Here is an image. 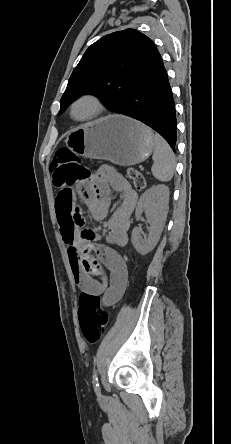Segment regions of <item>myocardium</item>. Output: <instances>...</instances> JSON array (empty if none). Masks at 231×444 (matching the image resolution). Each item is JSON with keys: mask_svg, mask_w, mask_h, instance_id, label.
<instances>
[{"mask_svg": "<svg viewBox=\"0 0 231 444\" xmlns=\"http://www.w3.org/2000/svg\"><path fill=\"white\" fill-rule=\"evenodd\" d=\"M82 100H89L94 104V111L87 117H83V118H77L74 115V109L75 106ZM104 104L102 102V100L100 99V97H98L95 94L92 93H85L82 94L80 96H78L70 105V116L73 120L77 121V122H88V121H92L97 119L98 117H100L103 112H104Z\"/></svg>", "mask_w": 231, "mask_h": 444, "instance_id": "f54148a6", "label": "myocardium"}]
</instances>
